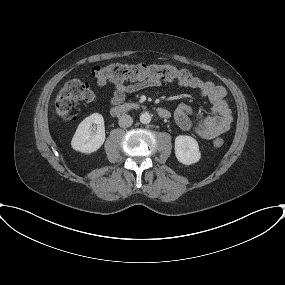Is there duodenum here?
I'll return each instance as SVG.
<instances>
[{"label":"duodenum","instance_id":"duodenum-1","mask_svg":"<svg viewBox=\"0 0 285 285\" xmlns=\"http://www.w3.org/2000/svg\"><path fill=\"white\" fill-rule=\"evenodd\" d=\"M137 106L130 103H122L113 106L110 110V113L113 117H121L124 114L128 113L131 110L136 109ZM156 112L160 118L166 119L170 116V112L163 107H156Z\"/></svg>","mask_w":285,"mask_h":285}]
</instances>
